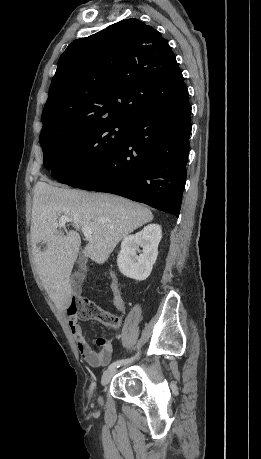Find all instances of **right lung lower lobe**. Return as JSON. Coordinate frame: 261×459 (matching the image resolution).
Listing matches in <instances>:
<instances>
[{
    "instance_id": "obj_1",
    "label": "right lung lower lobe",
    "mask_w": 261,
    "mask_h": 459,
    "mask_svg": "<svg viewBox=\"0 0 261 459\" xmlns=\"http://www.w3.org/2000/svg\"><path fill=\"white\" fill-rule=\"evenodd\" d=\"M188 89L134 119L123 146L73 187L117 194L179 216L191 133Z\"/></svg>"
}]
</instances>
